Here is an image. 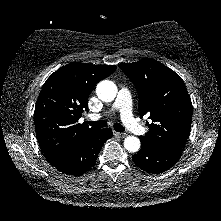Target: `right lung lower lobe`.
<instances>
[{
    "label": "right lung lower lobe",
    "mask_w": 221,
    "mask_h": 221,
    "mask_svg": "<svg viewBox=\"0 0 221 221\" xmlns=\"http://www.w3.org/2000/svg\"><path fill=\"white\" fill-rule=\"evenodd\" d=\"M111 137L112 131L110 129H98L54 167L65 174L79 176L85 173L94 165L103 144Z\"/></svg>",
    "instance_id": "obj_1"
}]
</instances>
